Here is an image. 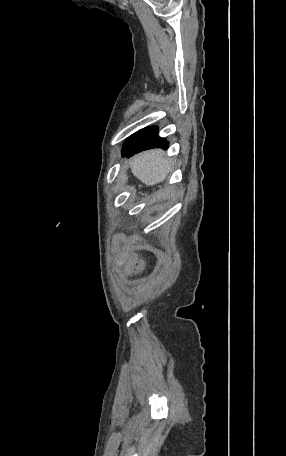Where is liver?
<instances>
[{
  "mask_svg": "<svg viewBox=\"0 0 286 456\" xmlns=\"http://www.w3.org/2000/svg\"><path fill=\"white\" fill-rule=\"evenodd\" d=\"M133 175L147 186H153L165 180L170 172L171 163L162 150L153 149L136 155L130 161ZM128 180L127 175L121 176L122 183Z\"/></svg>",
  "mask_w": 286,
  "mask_h": 456,
  "instance_id": "6515ba94",
  "label": "liver"
}]
</instances>
